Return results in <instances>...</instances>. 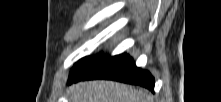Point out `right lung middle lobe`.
<instances>
[{"label":"right lung middle lobe","mask_w":221,"mask_h":102,"mask_svg":"<svg viewBox=\"0 0 221 102\" xmlns=\"http://www.w3.org/2000/svg\"><path fill=\"white\" fill-rule=\"evenodd\" d=\"M94 58L96 57H86V58H83L81 59L79 62H77L72 71H71V74L72 75L73 73L79 71L80 69L84 68L88 63H90Z\"/></svg>","instance_id":"dd1d6c3e"}]
</instances>
